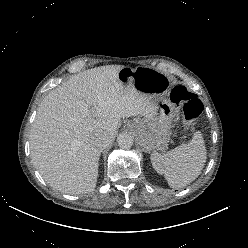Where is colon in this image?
Masks as SVG:
<instances>
[{
	"label": "colon",
	"mask_w": 248,
	"mask_h": 248,
	"mask_svg": "<svg viewBox=\"0 0 248 248\" xmlns=\"http://www.w3.org/2000/svg\"><path fill=\"white\" fill-rule=\"evenodd\" d=\"M171 98L175 103L181 104V110L186 124L189 127L193 126L201 113V102L184 86H176L171 92Z\"/></svg>",
	"instance_id": "1"
}]
</instances>
